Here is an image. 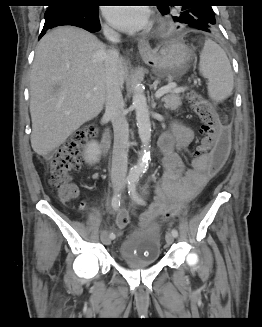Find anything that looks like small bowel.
<instances>
[{"label": "small bowel", "instance_id": "small-bowel-1", "mask_svg": "<svg viewBox=\"0 0 262 327\" xmlns=\"http://www.w3.org/2000/svg\"><path fill=\"white\" fill-rule=\"evenodd\" d=\"M194 140L191 127L176 122L171 131L160 134L158 143L163 154L164 174L155 184L156 200L150 211L140 219L141 226H148L160 212H172L175 206L191 201L204 187L213 172L207 171V157H196L191 168H186L181 154L186 153ZM81 210L88 209L84 200L79 202Z\"/></svg>", "mask_w": 262, "mask_h": 327}]
</instances>
